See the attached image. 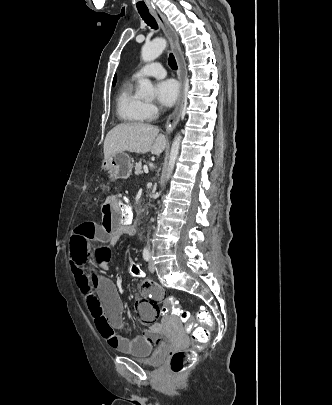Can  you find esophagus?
Instances as JSON below:
<instances>
[{
    "mask_svg": "<svg viewBox=\"0 0 332 405\" xmlns=\"http://www.w3.org/2000/svg\"><path fill=\"white\" fill-rule=\"evenodd\" d=\"M151 14L156 18L158 23L160 24L165 36L168 38L170 47L172 49V52L175 55L177 64H178V69H179V82H180V93L177 101V105L172 112V114L169 116L166 124H165V130L166 132H171L177 125L180 114L182 111V105H183V97H184V85H185V79H186V68H185V62L184 58L182 55V51L180 48L179 44V37L173 27L170 25L168 22L167 18L159 11V10H151Z\"/></svg>",
    "mask_w": 332,
    "mask_h": 405,
    "instance_id": "esophagus-1",
    "label": "esophagus"
}]
</instances>
